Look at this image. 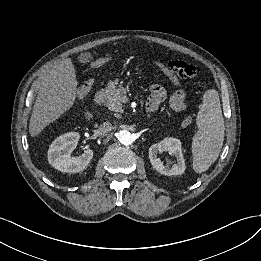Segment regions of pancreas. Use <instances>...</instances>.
I'll use <instances>...</instances> for the list:
<instances>
[{
    "label": "pancreas",
    "mask_w": 261,
    "mask_h": 261,
    "mask_svg": "<svg viewBox=\"0 0 261 261\" xmlns=\"http://www.w3.org/2000/svg\"><path fill=\"white\" fill-rule=\"evenodd\" d=\"M106 106L109 110L122 113L121 98L126 93L123 87L116 88L115 86H109L106 91Z\"/></svg>",
    "instance_id": "1"
}]
</instances>
